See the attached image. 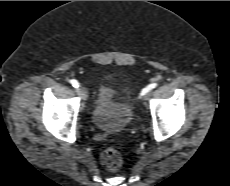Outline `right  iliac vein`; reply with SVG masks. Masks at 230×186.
<instances>
[{"instance_id":"right-iliac-vein-1","label":"right iliac vein","mask_w":230,"mask_h":186,"mask_svg":"<svg viewBox=\"0 0 230 186\" xmlns=\"http://www.w3.org/2000/svg\"><path fill=\"white\" fill-rule=\"evenodd\" d=\"M77 93L80 95L81 99L86 101L87 100V93L84 88H78Z\"/></svg>"}]
</instances>
